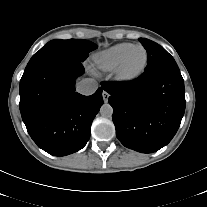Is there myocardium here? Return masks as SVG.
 <instances>
[{"label": "myocardium", "instance_id": "1", "mask_svg": "<svg viewBox=\"0 0 207 207\" xmlns=\"http://www.w3.org/2000/svg\"><path fill=\"white\" fill-rule=\"evenodd\" d=\"M137 48H140L143 50L144 62L142 64V66L137 71L128 73L125 70L126 62L129 58L131 52ZM147 65H148V52H147L146 48L141 44H135L125 53V55L122 57L119 64L115 68V72H114L115 78L119 82H122V83L133 82L142 76V74L145 72V70L147 68Z\"/></svg>", "mask_w": 207, "mask_h": 207}]
</instances>
